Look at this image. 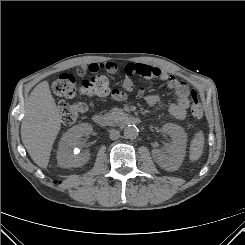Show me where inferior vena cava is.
<instances>
[{
	"label": "inferior vena cava",
	"mask_w": 245,
	"mask_h": 245,
	"mask_svg": "<svg viewBox=\"0 0 245 245\" xmlns=\"http://www.w3.org/2000/svg\"><path fill=\"white\" fill-rule=\"evenodd\" d=\"M109 137H110L111 140H116V139H118L120 137V133H119L118 130L112 129L109 132Z\"/></svg>",
	"instance_id": "obj_1"
}]
</instances>
